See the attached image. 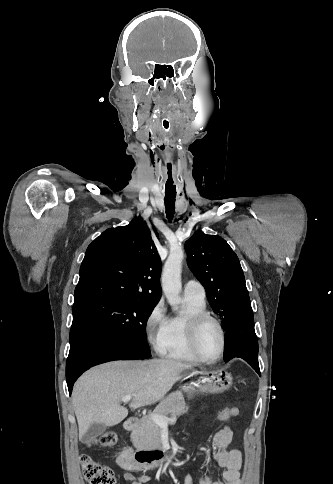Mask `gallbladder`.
Segmentation results:
<instances>
[{
    "label": "gallbladder",
    "instance_id": "obj_1",
    "mask_svg": "<svg viewBox=\"0 0 333 484\" xmlns=\"http://www.w3.org/2000/svg\"><path fill=\"white\" fill-rule=\"evenodd\" d=\"M106 428V425L103 423H93L82 437V442L89 443L95 440L106 431Z\"/></svg>",
    "mask_w": 333,
    "mask_h": 484
}]
</instances>
